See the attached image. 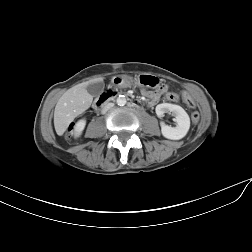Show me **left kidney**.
<instances>
[{
    "instance_id": "left-kidney-1",
    "label": "left kidney",
    "mask_w": 252,
    "mask_h": 252,
    "mask_svg": "<svg viewBox=\"0 0 252 252\" xmlns=\"http://www.w3.org/2000/svg\"><path fill=\"white\" fill-rule=\"evenodd\" d=\"M165 113H171L176 122L175 127H171L161 123L162 135L171 140L182 139L190 128V118L186 111L179 105L162 103L156 106V114L158 117H163Z\"/></svg>"
}]
</instances>
